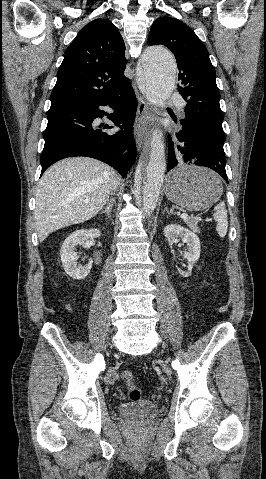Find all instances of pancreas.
I'll return each instance as SVG.
<instances>
[{
    "label": "pancreas",
    "mask_w": 266,
    "mask_h": 479,
    "mask_svg": "<svg viewBox=\"0 0 266 479\" xmlns=\"http://www.w3.org/2000/svg\"><path fill=\"white\" fill-rule=\"evenodd\" d=\"M184 222L186 223V225L191 229L193 230L194 232L196 233H199L200 232V228L198 226V221L194 218H186L184 219Z\"/></svg>",
    "instance_id": "obj_1"
}]
</instances>
